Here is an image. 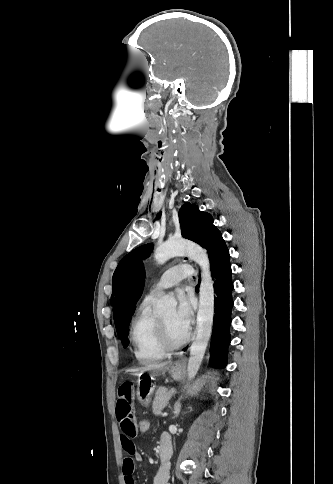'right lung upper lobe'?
Here are the masks:
<instances>
[{
	"instance_id": "cb5924a9",
	"label": "right lung upper lobe",
	"mask_w": 333,
	"mask_h": 484,
	"mask_svg": "<svg viewBox=\"0 0 333 484\" xmlns=\"http://www.w3.org/2000/svg\"><path fill=\"white\" fill-rule=\"evenodd\" d=\"M145 271L142 262L133 264L125 273L118 288L113 312L118 335L124 323L131 318L135 305L143 291Z\"/></svg>"
}]
</instances>
